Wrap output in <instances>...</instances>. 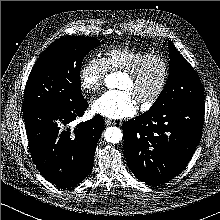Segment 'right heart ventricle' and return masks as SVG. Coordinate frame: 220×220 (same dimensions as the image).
I'll return each instance as SVG.
<instances>
[{"label":"right heart ventricle","instance_id":"right-heart-ventricle-1","mask_svg":"<svg viewBox=\"0 0 220 220\" xmlns=\"http://www.w3.org/2000/svg\"><path fill=\"white\" fill-rule=\"evenodd\" d=\"M149 54V51L129 46L113 47L104 51L102 60L107 71H121L130 68Z\"/></svg>","mask_w":220,"mask_h":220}]
</instances>
